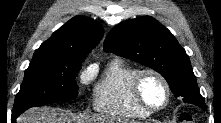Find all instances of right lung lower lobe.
Returning <instances> with one entry per match:
<instances>
[{"instance_id":"1","label":"right lung lower lobe","mask_w":221,"mask_h":123,"mask_svg":"<svg viewBox=\"0 0 221 123\" xmlns=\"http://www.w3.org/2000/svg\"><path fill=\"white\" fill-rule=\"evenodd\" d=\"M20 114H21V112L13 113L12 114V120H15Z\"/></svg>"}]
</instances>
